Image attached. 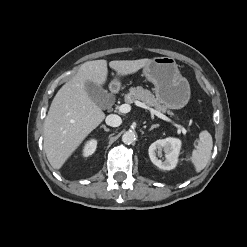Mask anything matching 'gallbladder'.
<instances>
[{
  "instance_id": "1",
  "label": "gallbladder",
  "mask_w": 247,
  "mask_h": 247,
  "mask_svg": "<svg viewBox=\"0 0 247 247\" xmlns=\"http://www.w3.org/2000/svg\"><path fill=\"white\" fill-rule=\"evenodd\" d=\"M89 97L100 107L104 106L109 99V93L101 86H97L93 82L87 81L85 85Z\"/></svg>"
}]
</instances>
